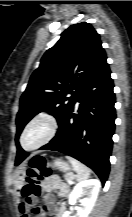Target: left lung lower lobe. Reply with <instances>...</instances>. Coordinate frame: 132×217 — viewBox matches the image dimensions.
I'll list each match as a JSON object with an SVG mask.
<instances>
[{
    "label": "left lung lower lobe",
    "mask_w": 132,
    "mask_h": 217,
    "mask_svg": "<svg viewBox=\"0 0 132 217\" xmlns=\"http://www.w3.org/2000/svg\"><path fill=\"white\" fill-rule=\"evenodd\" d=\"M109 65L105 61L92 79L78 93L74 105L61 118L56 136L40 150H53L67 154L88 167L104 184L107 180L115 129V94ZM15 165L20 164L28 153L17 144Z\"/></svg>",
    "instance_id": "0a47b994"
}]
</instances>
